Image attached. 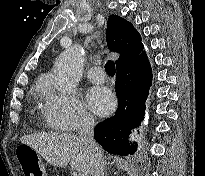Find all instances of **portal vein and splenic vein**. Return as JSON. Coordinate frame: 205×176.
Returning a JSON list of instances; mask_svg holds the SVG:
<instances>
[{
	"instance_id": "1",
	"label": "portal vein and splenic vein",
	"mask_w": 205,
	"mask_h": 176,
	"mask_svg": "<svg viewBox=\"0 0 205 176\" xmlns=\"http://www.w3.org/2000/svg\"><path fill=\"white\" fill-rule=\"evenodd\" d=\"M80 176H87L86 174H81Z\"/></svg>"
}]
</instances>
